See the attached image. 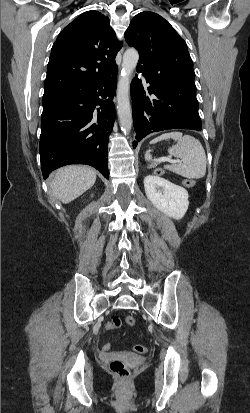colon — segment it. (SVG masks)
<instances>
[{
  "label": "colon",
  "mask_w": 250,
  "mask_h": 413,
  "mask_svg": "<svg viewBox=\"0 0 250 413\" xmlns=\"http://www.w3.org/2000/svg\"><path fill=\"white\" fill-rule=\"evenodd\" d=\"M154 174L156 177H163L165 174V171L163 168H156L154 171ZM181 185L187 186V187H193L195 185V181L191 179L189 180L182 179ZM134 324H135V318L129 315L123 318L115 317L113 320H107L105 322V327L107 329H112V328H119L122 325L133 326ZM110 347H111V344L108 341H105L102 344V351L108 352ZM133 350L136 353L142 354L147 351V348L144 345L136 344L133 346ZM109 369L113 373V375L121 382L128 380V378L130 377V369L125 364V362L122 361L121 359L111 360L109 363Z\"/></svg>",
  "instance_id": "obj_1"
}]
</instances>
